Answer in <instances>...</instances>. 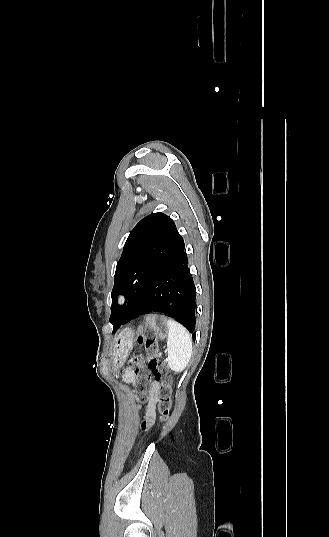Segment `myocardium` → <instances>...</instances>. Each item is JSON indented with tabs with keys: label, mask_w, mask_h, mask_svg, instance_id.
I'll return each mask as SVG.
<instances>
[{
	"label": "myocardium",
	"mask_w": 329,
	"mask_h": 537,
	"mask_svg": "<svg viewBox=\"0 0 329 537\" xmlns=\"http://www.w3.org/2000/svg\"><path fill=\"white\" fill-rule=\"evenodd\" d=\"M125 301H126V296L125 295H120V296L117 297L115 303L117 305H122Z\"/></svg>",
	"instance_id": "f54148a6"
}]
</instances>
